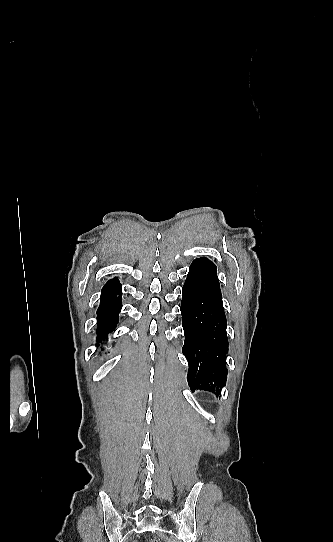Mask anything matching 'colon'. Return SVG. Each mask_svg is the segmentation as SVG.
Listing matches in <instances>:
<instances>
[{"label": "colon", "instance_id": "colon-1", "mask_svg": "<svg viewBox=\"0 0 333 542\" xmlns=\"http://www.w3.org/2000/svg\"><path fill=\"white\" fill-rule=\"evenodd\" d=\"M142 542H163L162 536H143Z\"/></svg>", "mask_w": 333, "mask_h": 542}]
</instances>
